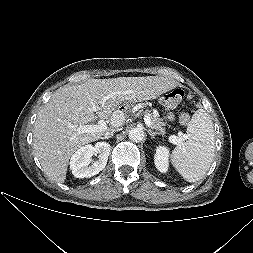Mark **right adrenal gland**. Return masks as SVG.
I'll list each match as a JSON object with an SVG mask.
<instances>
[{"mask_svg":"<svg viewBox=\"0 0 253 253\" xmlns=\"http://www.w3.org/2000/svg\"><path fill=\"white\" fill-rule=\"evenodd\" d=\"M112 136H108V137H103V139H109V138H111Z\"/></svg>","mask_w":253,"mask_h":253,"instance_id":"obj_1","label":"right adrenal gland"}]
</instances>
